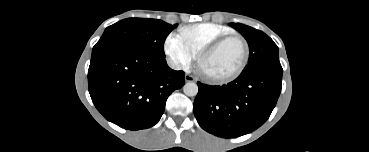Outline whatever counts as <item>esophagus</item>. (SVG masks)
Listing matches in <instances>:
<instances>
[{"mask_svg":"<svg viewBox=\"0 0 369 152\" xmlns=\"http://www.w3.org/2000/svg\"><path fill=\"white\" fill-rule=\"evenodd\" d=\"M185 81L186 82H194V81H196V79L192 75L185 74Z\"/></svg>","mask_w":369,"mask_h":152,"instance_id":"obj_1","label":"esophagus"}]
</instances>
